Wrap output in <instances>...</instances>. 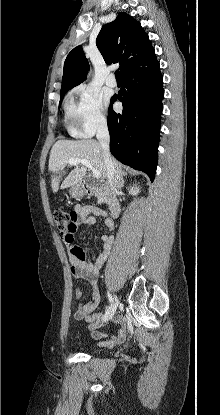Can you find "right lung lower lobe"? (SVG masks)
<instances>
[{
  "label": "right lung lower lobe",
  "instance_id": "1",
  "mask_svg": "<svg viewBox=\"0 0 220 415\" xmlns=\"http://www.w3.org/2000/svg\"><path fill=\"white\" fill-rule=\"evenodd\" d=\"M124 86L111 98L108 110L110 151L123 164L145 172L153 182L158 160L160 114L164 97L159 62L123 76ZM123 103L122 113L112 103Z\"/></svg>",
  "mask_w": 220,
  "mask_h": 415
}]
</instances>
